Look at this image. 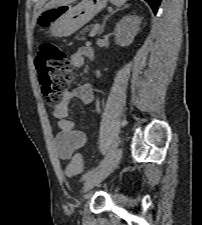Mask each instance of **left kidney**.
Masks as SVG:
<instances>
[{"mask_svg": "<svg viewBox=\"0 0 202 225\" xmlns=\"http://www.w3.org/2000/svg\"><path fill=\"white\" fill-rule=\"evenodd\" d=\"M140 23L141 18L137 15L123 17L120 22L117 23L114 31L116 43L122 47L130 45L140 30Z\"/></svg>", "mask_w": 202, "mask_h": 225, "instance_id": "left-kidney-1", "label": "left kidney"}]
</instances>
